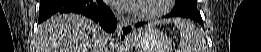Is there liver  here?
Here are the masks:
<instances>
[{
	"label": "liver",
	"mask_w": 261,
	"mask_h": 52,
	"mask_svg": "<svg viewBox=\"0 0 261 52\" xmlns=\"http://www.w3.org/2000/svg\"><path fill=\"white\" fill-rule=\"evenodd\" d=\"M106 33L86 17L55 15L37 30L34 52H105Z\"/></svg>",
	"instance_id": "6515ba94"
}]
</instances>
